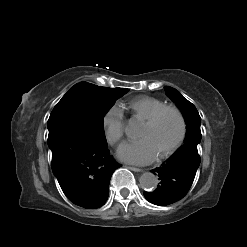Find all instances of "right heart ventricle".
<instances>
[{"mask_svg": "<svg viewBox=\"0 0 247 247\" xmlns=\"http://www.w3.org/2000/svg\"><path fill=\"white\" fill-rule=\"evenodd\" d=\"M164 106H166L164 101L151 96H140L128 105L132 116L140 121H145Z\"/></svg>", "mask_w": 247, "mask_h": 247, "instance_id": "obj_1", "label": "right heart ventricle"}]
</instances>
